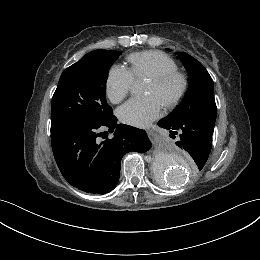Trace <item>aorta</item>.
I'll return each mask as SVG.
<instances>
[{"instance_id": "obj_1", "label": "aorta", "mask_w": 260, "mask_h": 260, "mask_svg": "<svg viewBox=\"0 0 260 260\" xmlns=\"http://www.w3.org/2000/svg\"><path fill=\"white\" fill-rule=\"evenodd\" d=\"M132 93L143 92L140 84H134ZM155 176L169 186H176L184 183L191 175L190 162L179 152L167 151L158 153L153 162Z\"/></svg>"}]
</instances>
